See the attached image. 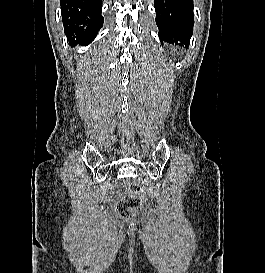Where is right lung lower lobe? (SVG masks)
Listing matches in <instances>:
<instances>
[{"mask_svg":"<svg viewBox=\"0 0 265 273\" xmlns=\"http://www.w3.org/2000/svg\"><path fill=\"white\" fill-rule=\"evenodd\" d=\"M60 5L69 43H91L103 25L102 0H60Z\"/></svg>","mask_w":265,"mask_h":273,"instance_id":"obj_1","label":"right lung lower lobe"}]
</instances>
